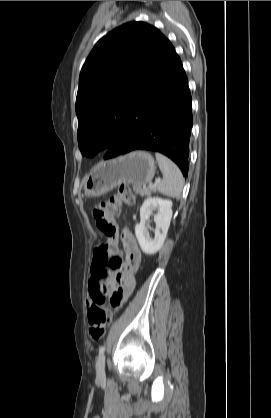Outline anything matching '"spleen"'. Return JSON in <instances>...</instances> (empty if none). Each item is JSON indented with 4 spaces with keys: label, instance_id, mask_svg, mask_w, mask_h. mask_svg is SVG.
Returning a JSON list of instances; mask_svg holds the SVG:
<instances>
[{
    "label": "spleen",
    "instance_id": "spleen-1",
    "mask_svg": "<svg viewBox=\"0 0 271 418\" xmlns=\"http://www.w3.org/2000/svg\"><path fill=\"white\" fill-rule=\"evenodd\" d=\"M155 156L163 174V180L158 183L157 190L164 195L179 198L184 186V178L180 169L166 156L160 153H156Z\"/></svg>",
    "mask_w": 271,
    "mask_h": 418
}]
</instances>
